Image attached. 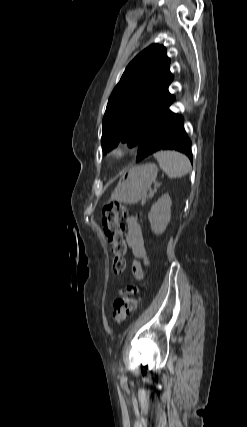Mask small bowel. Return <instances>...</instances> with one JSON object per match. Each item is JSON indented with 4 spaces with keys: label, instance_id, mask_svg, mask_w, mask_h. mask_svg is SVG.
<instances>
[{
    "label": "small bowel",
    "instance_id": "1",
    "mask_svg": "<svg viewBox=\"0 0 247 427\" xmlns=\"http://www.w3.org/2000/svg\"><path fill=\"white\" fill-rule=\"evenodd\" d=\"M126 224V240L135 258L132 266V272L136 278L141 279L144 273L142 264H148L146 250L144 247L142 229L138 220L135 217L127 218ZM128 290L130 291V287L128 288Z\"/></svg>",
    "mask_w": 247,
    "mask_h": 427
}]
</instances>
